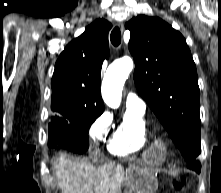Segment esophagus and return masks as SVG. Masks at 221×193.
Masks as SVG:
<instances>
[{
	"instance_id": "1",
	"label": "esophagus",
	"mask_w": 221,
	"mask_h": 193,
	"mask_svg": "<svg viewBox=\"0 0 221 193\" xmlns=\"http://www.w3.org/2000/svg\"><path fill=\"white\" fill-rule=\"evenodd\" d=\"M119 28L123 31L124 25L122 23H118Z\"/></svg>"
}]
</instances>
